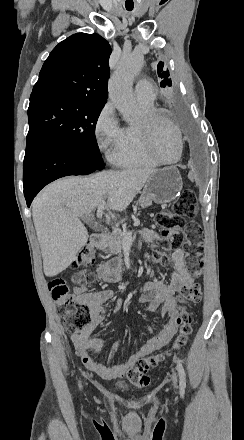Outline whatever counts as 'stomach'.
I'll return each instance as SVG.
<instances>
[{
    "label": "stomach",
    "mask_w": 244,
    "mask_h": 440,
    "mask_svg": "<svg viewBox=\"0 0 244 440\" xmlns=\"http://www.w3.org/2000/svg\"><path fill=\"white\" fill-rule=\"evenodd\" d=\"M183 188L181 174L176 166L160 168L148 178L140 198L142 208L155 204H168L180 196Z\"/></svg>",
    "instance_id": "0dacf381"
}]
</instances>
